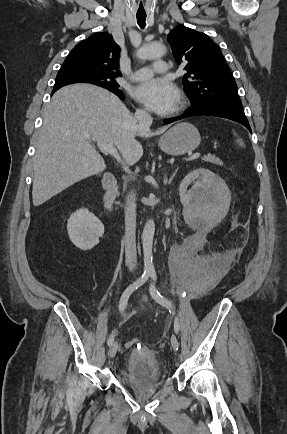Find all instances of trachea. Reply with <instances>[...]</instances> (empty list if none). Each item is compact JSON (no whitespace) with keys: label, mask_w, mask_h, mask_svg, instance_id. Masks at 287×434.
Wrapping results in <instances>:
<instances>
[{"label":"trachea","mask_w":287,"mask_h":434,"mask_svg":"<svg viewBox=\"0 0 287 434\" xmlns=\"http://www.w3.org/2000/svg\"><path fill=\"white\" fill-rule=\"evenodd\" d=\"M136 17L138 25L143 29L146 26V14L137 13Z\"/></svg>","instance_id":"obj_1"}]
</instances>
